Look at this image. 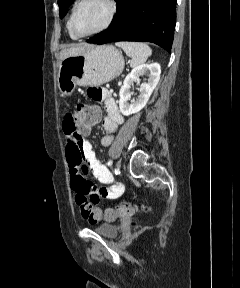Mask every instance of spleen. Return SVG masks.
Segmentation results:
<instances>
[{"label": "spleen", "mask_w": 240, "mask_h": 288, "mask_svg": "<svg viewBox=\"0 0 240 288\" xmlns=\"http://www.w3.org/2000/svg\"><path fill=\"white\" fill-rule=\"evenodd\" d=\"M116 46L121 47L127 56L131 58L130 66L137 67L146 62L152 54V49L142 42H117Z\"/></svg>", "instance_id": "spleen-1"}]
</instances>
